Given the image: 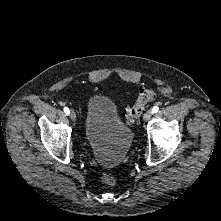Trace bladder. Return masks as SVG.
<instances>
[{
	"mask_svg": "<svg viewBox=\"0 0 221 221\" xmlns=\"http://www.w3.org/2000/svg\"><path fill=\"white\" fill-rule=\"evenodd\" d=\"M84 133L95 159L105 167L118 165L133 142L132 129L121 120L114 100L103 94L87 101Z\"/></svg>",
	"mask_w": 221,
	"mask_h": 221,
	"instance_id": "bladder-1",
	"label": "bladder"
}]
</instances>
